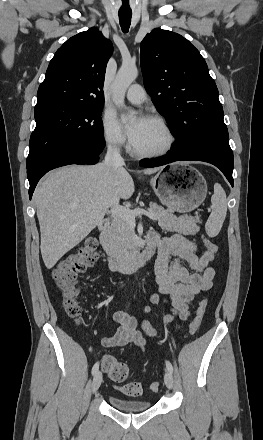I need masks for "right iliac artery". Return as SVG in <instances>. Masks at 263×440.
<instances>
[{"label":"right iliac artery","mask_w":263,"mask_h":440,"mask_svg":"<svg viewBox=\"0 0 263 440\" xmlns=\"http://www.w3.org/2000/svg\"><path fill=\"white\" fill-rule=\"evenodd\" d=\"M99 369V362H96L92 368V374L94 375Z\"/></svg>","instance_id":"82829eb1"}]
</instances>
